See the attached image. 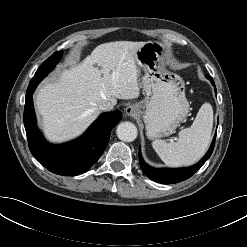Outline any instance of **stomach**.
Returning <instances> with one entry per match:
<instances>
[{"label": "stomach", "mask_w": 247, "mask_h": 247, "mask_svg": "<svg viewBox=\"0 0 247 247\" xmlns=\"http://www.w3.org/2000/svg\"><path fill=\"white\" fill-rule=\"evenodd\" d=\"M165 46L148 41L136 52L137 64L144 70L145 98L136 104L149 139L172 134L190 110L184 80L165 68Z\"/></svg>", "instance_id": "0dacf381"}]
</instances>
